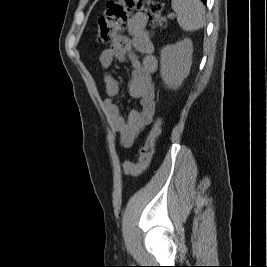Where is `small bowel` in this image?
I'll return each mask as SVG.
<instances>
[{"instance_id":"1","label":"small bowel","mask_w":267,"mask_h":267,"mask_svg":"<svg viewBox=\"0 0 267 267\" xmlns=\"http://www.w3.org/2000/svg\"><path fill=\"white\" fill-rule=\"evenodd\" d=\"M147 22L144 13H135L127 24L129 35L116 36L99 57L100 64L105 70H108L115 60L124 62L129 59L132 66L127 89L132 98L140 100V108L131 111L127 118L121 115L116 102L120 92L118 80L109 72L104 75L108 96L104 101V111L111 128L119 134L120 144L124 148L133 146L141 132L152 122L155 114V88L152 76L157 70L158 62L146 30ZM135 52L143 54L144 58L140 60Z\"/></svg>"}]
</instances>
